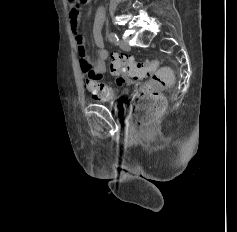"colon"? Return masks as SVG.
<instances>
[{
    "mask_svg": "<svg viewBox=\"0 0 237 232\" xmlns=\"http://www.w3.org/2000/svg\"><path fill=\"white\" fill-rule=\"evenodd\" d=\"M89 0H69L80 7ZM110 73L116 83L122 85L126 78L143 81L135 97L134 120L136 125L149 130L165 108L162 91L171 86L174 76L169 68H159L155 60L139 62L131 57L114 54L110 61Z\"/></svg>",
    "mask_w": 237,
    "mask_h": 232,
    "instance_id": "5ec220e1",
    "label": "colon"
}]
</instances>
